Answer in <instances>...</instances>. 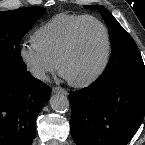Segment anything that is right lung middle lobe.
Returning <instances> with one entry per match:
<instances>
[{"label":"right lung middle lobe","mask_w":145,"mask_h":145,"mask_svg":"<svg viewBox=\"0 0 145 145\" xmlns=\"http://www.w3.org/2000/svg\"><path fill=\"white\" fill-rule=\"evenodd\" d=\"M44 12L43 7L0 12V80L20 77L27 72L20 54V42Z\"/></svg>","instance_id":"dd1d6c3e"}]
</instances>
